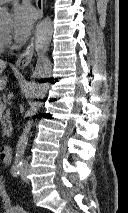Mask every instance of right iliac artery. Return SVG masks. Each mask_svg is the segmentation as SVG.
<instances>
[{
    "label": "right iliac artery",
    "instance_id": "1",
    "mask_svg": "<svg viewBox=\"0 0 128 213\" xmlns=\"http://www.w3.org/2000/svg\"><path fill=\"white\" fill-rule=\"evenodd\" d=\"M21 165H14L11 168V173L14 177H18L20 175Z\"/></svg>",
    "mask_w": 128,
    "mask_h": 213
}]
</instances>
